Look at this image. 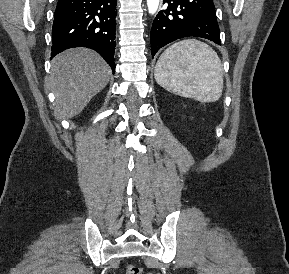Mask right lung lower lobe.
<instances>
[{
    "instance_id": "obj_1",
    "label": "right lung lower lobe",
    "mask_w": 289,
    "mask_h": 274,
    "mask_svg": "<svg viewBox=\"0 0 289 274\" xmlns=\"http://www.w3.org/2000/svg\"><path fill=\"white\" fill-rule=\"evenodd\" d=\"M117 0H58L52 28V53L72 47L97 51L115 69Z\"/></svg>"
}]
</instances>
